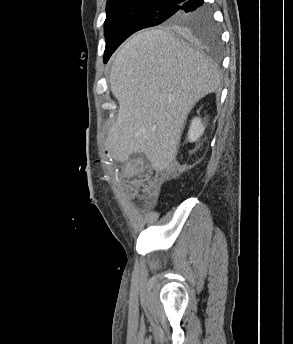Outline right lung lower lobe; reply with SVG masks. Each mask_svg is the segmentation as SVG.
Wrapping results in <instances>:
<instances>
[{
	"instance_id": "1",
	"label": "right lung lower lobe",
	"mask_w": 293,
	"mask_h": 344,
	"mask_svg": "<svg viewBox=\"0 0 293 344\" xmlns=\"http://www.w3.org/2000/svg\"><path fill=\"white\" fill-rule=\"evenodd\" d=\"M203 2V0H185L183 3L180 4L179 12L195 13L200 11H206L207 8L203 6Z\"/></svg>"
}]
</instances>
